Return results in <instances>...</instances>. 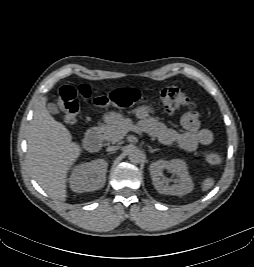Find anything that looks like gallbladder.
<instances>
[{
    "label": "gallbladder",
    "mask_w": 254,
    "mask_h": 267,
    "mask_svg": "<svg viewBox=\"0 0 254 267\" xmlns=\"http://www.w3.org/2000/svg\"><path fill=\"white\" fill-rule=\"evenodd\" d=\"M47 109L51 114H58L59 113L58 106L54 103H48Z\"/></svg>",
    "instance_id": "bac80fb5"
}]
</instances>
